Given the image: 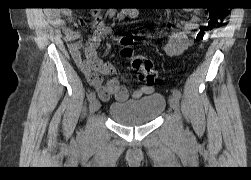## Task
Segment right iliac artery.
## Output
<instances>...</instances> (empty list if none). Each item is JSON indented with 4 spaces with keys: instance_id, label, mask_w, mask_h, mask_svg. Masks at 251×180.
I'll return each instance as SVG.
<instances>
[{
    "instance_id": "1",
    "label": "right iliac artery",
    "mask_w": 251,
    "mask_h": 180,
    "mask_svg": "<svg viewBox=\"0 0 251 180\" xmlns=\"http://www.w3.org/2000/svg\"><path fill=\"white\" fill-rule=\"evenodd\" d=\"M87 97H88V100H89L90 102H92V101L96 98L95 92L91 91V92L87 95Z\"/></svg>"
}]
</instances>
